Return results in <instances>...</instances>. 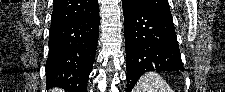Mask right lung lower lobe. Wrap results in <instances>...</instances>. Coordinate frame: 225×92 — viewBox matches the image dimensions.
<instances>
[{"mask_svg": "<svg viewBox=\"0 0 225 92\" xmlns=\"http://www.w3.org/2000/svg\"><path fill=\"white\" fill-rule=\"evenodd\" d=\"M99 11L71 23L50 28L46 62L48 88L86 92L95 60L99 34Z\"/></svg>", "mask_w": 225, "mask_h": 92, "instance_id": "98d812e1", "label": "right lung lower lobe"}]
</instances>
